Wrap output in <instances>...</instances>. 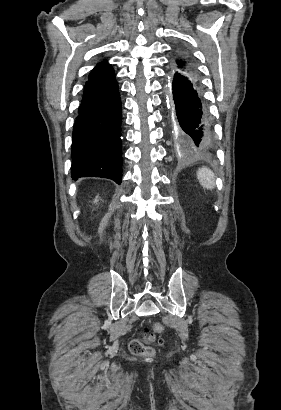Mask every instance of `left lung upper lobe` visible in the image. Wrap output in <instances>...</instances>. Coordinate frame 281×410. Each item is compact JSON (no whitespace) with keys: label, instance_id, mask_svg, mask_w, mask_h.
Segmentation results:
<instances>
[{"label":"left lung upper lobe","instance_id":"obj_1","mask_svg":"<svg viewBox=\"0 0 281 410\" xmlns=\"http://www.w3.org/2000/svg\"><path fill=\"white\" fill-rule=\"evenodd\" d=\"M173 71L189 74L198 78V72L194 62L185 54H179L175 58V62L173 64Z\"/></svg>","mask_w":281,"mask_h":410}]
</instances>
